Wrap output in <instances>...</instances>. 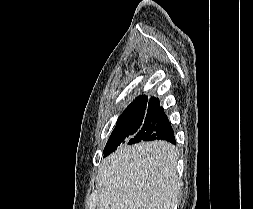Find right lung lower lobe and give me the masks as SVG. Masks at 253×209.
Instances as JSON below:
<instances>
[{
  "label": "right lung lower lobe",
  "mask_w": 253,
  "mask_h": 209,
  "mask_svg": "<svg viewBox=\"0 0 253 209\" xmlns=\"http://www.w3.org/2000/svg\"><path fill=\"white\" fill-rule=\"evenodd\" d=\"M151 109L158 110L157 122L153 129L146 131V133L142 136V140H166L175 144L174 131L163 109L160 107V102L157 101Z\"/></svg>",
  "instance_id": "obj_1"
}]
</instances>
